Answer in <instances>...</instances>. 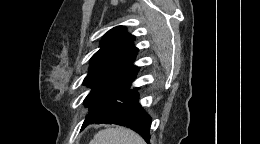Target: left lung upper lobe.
Wrapping results in <instances>:
<instances>
[{
	"mask_svg": "<svg viewBox=\"0 0 260 144\" xmlns=\"http://www.w3.org/2000/svg\"><path fill=\"white\" fill-rule=\"evenodd\" d=\"M134 40L135 36L127 34L123 26L114 27L104 35L101 48L90 59L89 73L83 81L92 89L84 100L90 112L82 128L137 73L138 67L133 65L138 53Z\"/></svg>",
	"mask_w": 260,
	"mask_h": 144,
	"instance_id": "left-lung-upper-lobe-1",
	"label": "left lung upper lobe"
}]
</instances>
